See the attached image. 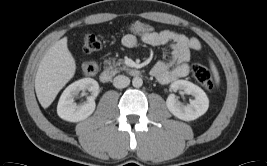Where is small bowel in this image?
I'll return each mask as SVG.
<instances>
[{
  "label": "small bowel",
  "instance_id": "1",
  "mask_svg": "<svg viewBox=\"0 0 267 166\" xmlns=\"http://www.w3.org/2000/svg\"><path fill=\"white\" fill-rule=\"evenodd\" d=\"M141 41L150 46L170 47V55L167 59L158 61L152 68L153 76L162 84L174 82L189 73L188 61L191 51H200L201 44L195 38L173 31H151L145 34L127 33L122 38V45L126 48H134Z\"/></svg>",
  "mask_w": 267,
  "mask_h": 166
}]
</instances>
